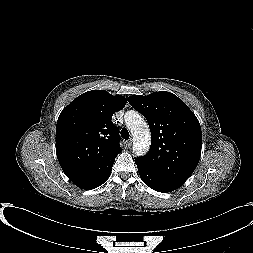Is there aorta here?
Returning <instances> with one entry per match:
<instances>
[{"mask_svg":"<svg viewBox=\"0 0 253 253\" xmlns=\"http://www.w3.org/2000/svg\"><path fill=\"white\" fill-rule=\"evenodd\" d=\"M125 122L133 136V152L137 156L145 155L151 143L147 123L136 111L126 112Z\"/></svg>","mask_w":253,"mask_h":253,"instance_id":"aorta-1","label":"aorta"}]
</instances>
